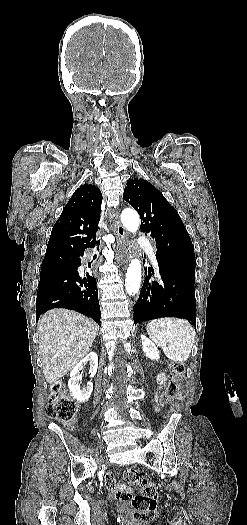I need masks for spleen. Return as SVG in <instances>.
<instances>
[{"instance_id":"obj_1","label":"spleen","mask_w":247,"mask_h":525,"mask_svg":"<svg viewBox=\"0 0 247 525\" xmlns=\"http://www.w3.org/2000/svg\"><path fill=\"white\" fill-rule=\"evenodd\" d=\"M147 333L165 357L174 363H184L189 359L195 339V329L185 319L165 317L154 319L147 327Z\"/></svg>"}]
</instances>
